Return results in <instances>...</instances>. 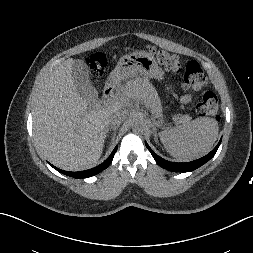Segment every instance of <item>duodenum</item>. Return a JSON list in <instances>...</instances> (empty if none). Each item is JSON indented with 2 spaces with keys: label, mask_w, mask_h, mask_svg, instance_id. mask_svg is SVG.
Instances as JSON below:
<instances>
[{
  "label": "duodenum",
  "mask_w": 253,
  "mask_h": 253,
  "mask_svg": "<svg viewBox=\"0 0 253 253\" xmlns=\"http://www.w3.org/2000/svg\"><path fill=\"white\" fill-rule=\"evenodd\" d=\"M104 97L106 98V99H108V98H110L111 96H112V94H113V89H112V87L110 86V85H107L106 87H105V89H104Z\"/></svg>",
  "instance_id": "duodenum-1"
}]
</instances>
